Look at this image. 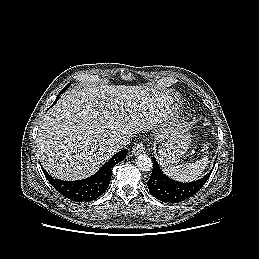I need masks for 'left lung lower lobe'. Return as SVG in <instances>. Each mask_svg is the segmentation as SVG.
Instances as JSON below:
<instances>
[{"mask_svg": "<svg viewBox=\"0 0 259 259\" xmlns=\"http://www.w3.org/2000/svg\"><path fill=\"white\" fill-rule=\"evenodd\" d=\"M153 169L152 174L147 182L148 189L151 195L165 202H181L196 194L210 177L212 170L203 178L189 183H182L170 179L166 176L159 167L155 157H152Z\"/></svg>", "mask_w": 259, "mask_h": 259, "instance_id": "1", "label": "left lung lower lobe"}]
</instances>
